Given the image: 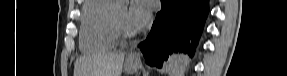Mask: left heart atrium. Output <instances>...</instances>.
<instances>
[{"instance_id": "39dd6f15", "label": "left heart atrium", "mask_w": 287, "mask_h": 76, "mask_svg": "<svg viewBox=\"0 0 287 76\" xmlns=\"http://www.w3.org/2000/svg\"><path fill=\"white\" fill-rule=\"evenodd\" d=\"M151 17L150 3L146 0H134L128 9V20L135 30L144 28Z\"/></svg>"}]
</instances>
